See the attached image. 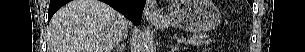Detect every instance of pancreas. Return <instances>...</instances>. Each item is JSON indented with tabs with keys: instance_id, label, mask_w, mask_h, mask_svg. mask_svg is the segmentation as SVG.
I'll use <instances>...</instances> for the list:
<instances>
[{
	"instance_id": "1",
	"label": "pancreas",
	"mask_w": 305,
	"mask_h": 52,
	"mask_svg": "<svg viewBox=\"0 0 305 52\" xmlns=\"http://www.w3.org/2000/svg\"><path fill=\"white\" fill-rule=\"evenodd\" d=\"M210 42H214V40L209 39L207 35L197 34L190 37V39L187 41V44L201 46Z\"/></svg>"
}]
</instances>
